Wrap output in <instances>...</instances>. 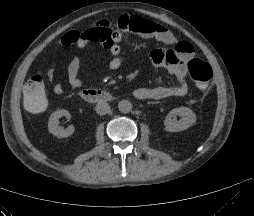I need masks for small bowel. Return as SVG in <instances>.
Returning <instances> with one entry per match:
<instances>
[{"label":"small bowel","instance_id":"1","mask_svg":"<svg viewBox=\"0 0 254 216\" xmlns=\"http://www.w3.org/2000/svg\"><path fill=\"white\" fill-rule=\"evenodd\" d=\"M96 28L107 29L110 32L111 43L107 45L110 59L108 66L111 70H117L121 67L120 45L123 33L130 32L138 34L144 38L156 39L171 48L154 50L149 56L153 66H163L168 72L178 80L176 86H152L138 87L133 95L139 100L154 99L160 100L169 97H182L188 92V85L185 81L186 62L192 58L194 48L192 44L185 40H177L174 34L166 27L141 17L126 16L119 20L118 27L110 29L107 22H99ZM88 41L82 36L81 31L73 30L66 33L60 41L61 46L67 47L77 45L79 48H85ZM81 59L73 57L67 68L68 84L71 88H78L82 85L80 76ZM56 70L51 67L47 71L48 81L52 85V91L55 95H61L64 87L61 82L55 81Z\"/></svg>","mask_w":254,"mask_h":216}]
</instances>
